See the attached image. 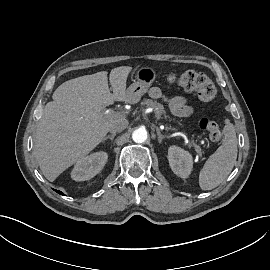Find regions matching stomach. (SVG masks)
<instances>
[{
	"mask_svg": "<svg viewBox=\"0 0 270 270\" xmlns=\"http://www.w3.org/2000/svg\"><path fill=\"white\" fill-rule=\"evenodd\" d=\"M136 81L127 89V99L130 103H136L148 91L155 81L156 73L151 67H141L136 72Z\"/></svg>",
	"mask_w": 270,
	"mask_h": 270,
	"instance_id": "0dacf381",
	"label": "stomach"
}]
</instances>
